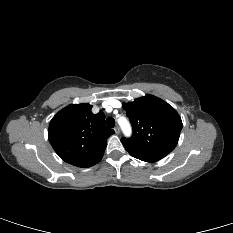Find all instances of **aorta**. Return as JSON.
Instances as JSON below:
<instances>
[{
    "label": "aorta",
    "instance_id": "1",
    "mask_svg": "<svg viewBox=\"0 0 233 233\" xmlns=\"http://www.w3.org/2000/svg\"><path fill=\"white\" fill-rule=\"evenodd\" d=\"M119 124L122 128L124 135L129 137L131 135V126H130L129 122L125 118H121L119 120Z\"/></svg>",
    "mask_w": 233,
    "mask_h": 233
}]
</instances>
